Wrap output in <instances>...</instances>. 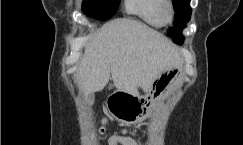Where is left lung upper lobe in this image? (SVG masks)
I'll return each mask as SVG.
<instances>
[{
    "mask_svg": "<svg viewBox=\"0 0 243 145\" xmlns=\"http://www.w3.org/2000/svg\"><path fill=\"white\" fill-rule=\"evenodd\" d=\"M190 0H173V7L175 11L174 28L170 31L169 36L177 44L183 43L182 29L186 26L183 25L190 20L191 7Z\"/></svg>",
    "mask_w": 243,
    "mask_h": 145,
    "instance_id": "1",
    "label": "left lung upper lobe"
}]
</instances>
